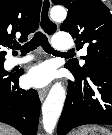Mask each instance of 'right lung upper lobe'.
I'll return each mask as SVG.
<instances>
[{"instance_id": "1", "label": "right lung upper lobe", "mask_w": 112, "mask_h": 135, "mask_svg": "<svg viewBox=\"0 0 112 135\" xmlns=\"http://www.w3.org/2000/svg\"><path fill=\"white\" fill-rule=\"evenodd\" d=\"M41 3L42 0H0V61H5L4 49L10 47L16 34L27 40L38 29Z\"/></svg>"}]
</instances>
